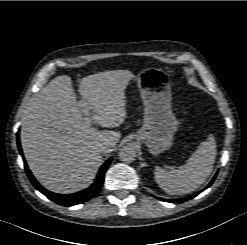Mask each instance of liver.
<instances>
[{"label":"liver","instance_id":"liver-1","mask_svg":"<svg viewBox=\"0 0 247 245\" xmlns=\"http://www.w3.org/2000/svg\"><path fill=\"white\" fill-rule=\"evenodd\" d=\"M134 78L128 70H112L81 79L79 93L97 124L112 128L124 122L125 89ZM120 136L85 123L71 78L62 75L30 101L20 139L28 166L40 184L49 191L68 194L89 186L103 160L100 144L111 142L113 150Z\"/></svg>","mask_w":247,"mask_h":245}]
</instances>
